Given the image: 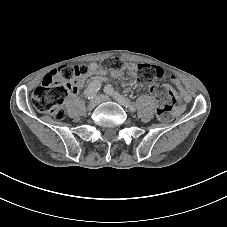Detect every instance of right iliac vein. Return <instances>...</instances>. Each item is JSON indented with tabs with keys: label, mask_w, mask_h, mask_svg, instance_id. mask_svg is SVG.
Returning a JSON list of instances; mask_svg holds the SVG:
<instances>
[{
	"label": "right iliac vein",
	"mask_w": 227,
	"mask_h": 227,
	"mask_svg": "<svg viewBox=\"0 0 227 227\" xmlns=\"http://www.w3.org/2000/svg\"><path fill=\"white\" fill-rule=\"evenodd\" d=\"M100 103L101 102H100L99 97H95L89 102L88 109L91 110V109L95 108L97 105H99Z\"/></svg>",
	"instance_id": "right-iliac-vein-1"
}]
</instances>
